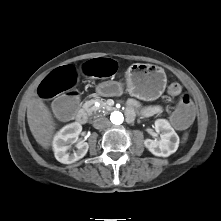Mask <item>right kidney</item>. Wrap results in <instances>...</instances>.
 Listing matches in <instances>:
<instances>
[{
  "mask_svg": "<svg viewBox=\"0 0 221 221\" xmlns=\"http://www.w3.org/2000/svg\"><path fill=\"white\" fill-rule=\"evenodd\" d=\"M81 131L82 126L79 123L74 122L64 126L56 133L53 139V150L55 158L59 162L63 164H71L86 155L89 145L83 140L77 142V150H73V153H68L71 145L77 141Z\"/></svg>",
  "mask_w": 221,
  "mask_h": 221,
  "instance_id": "right-kidney-1",
  "label": "right kidney"
}]
</instances>
